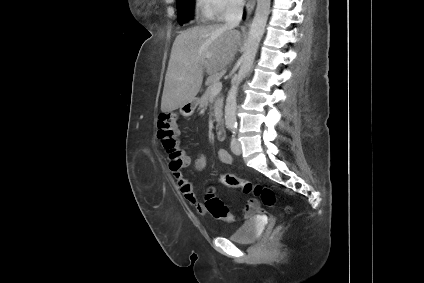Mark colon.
<instances>
[{
  "label": "colon",
  "mask_w": 424,
  "mask_h": 283,
  "mask_svg": "<svg viewBox=\"0 0 424 283\" xmlns=\"http://www.w3.org/2000/svg\"><path fill=\"white\" fill-rule=\"evenodd\" d=\"M157 137L160 140L162 147L167 152L169 166L172 171H178L181 168L188 166V156L179 147L176 115L167 113L161 114L158 117ZM219 180L222 185L228 188L241 189L246 194H253L255 197L260 198L262 203L266 206H273L276 202V195L274 191L268 187L260 184H253L252 182L239 178L233 174H222ZM204 205L206 211L215 219L228 222H232L234 220V215L230 213L229 209L212 192H209L206 195ZM256 207V200H250L247 204L246 214H253ZM286 211L290 213L292 212V208L287 206Z\"/></svg>",
  "instance_id": "colon-1"
}]
</instances>
